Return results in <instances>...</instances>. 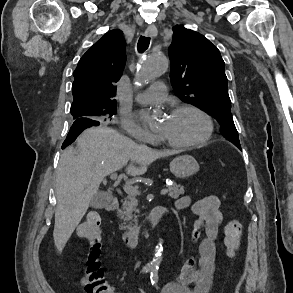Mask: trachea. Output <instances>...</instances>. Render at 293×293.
<instances>
[{"instance_id":"obj_1","label":"trachea","mask_w":293,"mask_h":293,"mask_svg":"<svg viewBox=\"0 0 293 293\" xmlns=\"http://www.w3.org/2000/svg\"><path fill=\"white\" fill-rule=\"evenodd\" d=\"M150 44V37L141 36L138 41L137 49L138 52H144Z\"/></svg>"}]
</instances>
